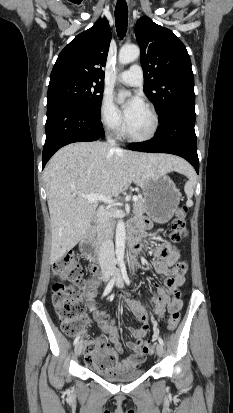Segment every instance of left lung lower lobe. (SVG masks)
<instances>
[{
	"mask_svg": "<svg viewBox=\"0 0 233 413\" xmlns=\"http://www.w3.org/2000/svg\"><path fill=\"white\" fill-rule=\"evenodd\" d=\"M195 115L177 111L161 119L158 134L151 140L129 146L130 150L169 153L185 158L199 172Z\"/></svg>",
	"mask_w": 233,
	"mask_h": 413,
	"instance_id": "0a47b994",
	"label": "left lung lower lobe"
}]
</instances>
